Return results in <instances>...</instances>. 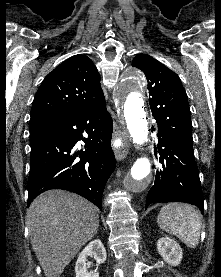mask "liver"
I'll list each match as a JSON object with an SVG mask.
<instances>
[{
	"mask_svg": "<svg viewBox=\"0 0 221 277\" xmlns=\"http://www.w3.org/2000/svg\"><path fill=\"white\" fill-rule=\"evenodd\" d=\"M26 222L45 277H60L97 233L99 215L88 200L63 190H50L33 200Z\"/></svg>",
	"mask_w": 221,
	"mask_h": 277,
	"instance_id": "obj_1",
	"label": "liver"
}]
</instances>
